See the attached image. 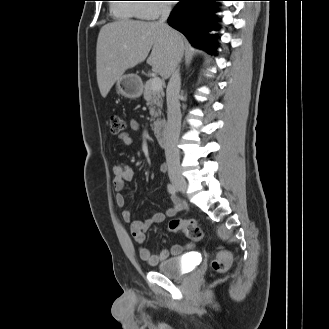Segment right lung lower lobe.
<instances>
[{"mask_svg": "<svg viewBox=\"0 0 329 329\" xmlns=\"http://www.w3.org/2000/svg\"><path fill=\"white\" fill-rule=\"evenodd\" d=\"M179 1L168 18L169 25L183 33L192 45L215 53L216 42L207 33L216 29L213 13L218 0Z\"/></svg>", "mask_w": 329, "mask_h": 329, "instance_id": "98d812e1", "label": "right lung lower lobe"}]
</instances>
